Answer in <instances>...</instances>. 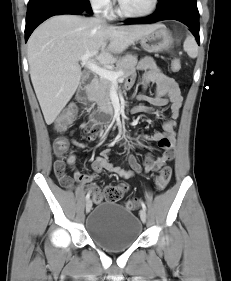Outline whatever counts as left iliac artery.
<instances>
[{
  "mask_svg": "<svg viewBox=\"0 0 231 281\" xmlns=\"http://www.w3.org/2000/svg\"><path fill=\"white\" fill-rule=\"evenodd\" d=\"M141 206H142V209L145 211L146 210V205L143 201H141Z\"/></svg>",
  "mask_w": 231,
  "mask_h": 281,
  "instance_id": "1",
  "label": "left iliac artery"
}]
</instances>
